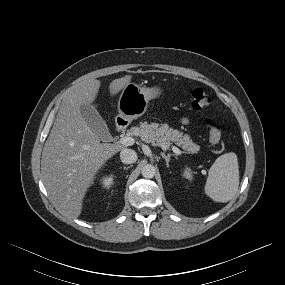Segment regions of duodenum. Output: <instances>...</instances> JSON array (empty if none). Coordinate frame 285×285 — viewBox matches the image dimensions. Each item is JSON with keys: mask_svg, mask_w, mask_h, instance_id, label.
I'll use <instances>...</instances> for the list:
<instances>
[{"mask_svg": "<svg viewBox=\"0 0 285 285\" xmlns=\"http://www.w3.org/2000/svg\"><path fill=\"white\" fill-rule=\"evenodd\" d=\"M125 127H126V123L123 120H121V119L117 120L116 128L118 131H123L125 129Z\"/></svg>", "mask_w": 285, "mask_h": 285, "instance_id": "duodenum-1", "label": "duodenum"}]
</instances>
